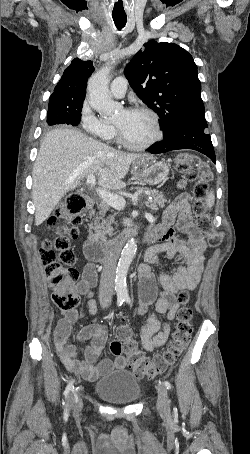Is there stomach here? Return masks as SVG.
I'll use <instances>...</instances> for the list:
<instances>
[{"mask_svg": "<svg viewBox=\"0 0 250 454\" xmlns=\"http://www.w3.org/2000/svg\"><path fill=\"white\" fill-rule=\"evenodd\" d=\"M170 164L157 161L151 155H142L133 161L132 174L140 183L156 185L164 181L169 173Z\"/></svg>", "mask_w": 250, "mask_h": 454, "instance_id": "stomach-1", "label": "stomach"}]
</instances>
